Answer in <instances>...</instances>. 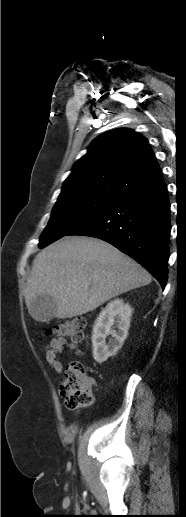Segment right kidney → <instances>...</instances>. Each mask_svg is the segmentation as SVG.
Listing matches in <instances>:
<instances>
[{"mask_svg":"<svg viewBox=\"0 0 186 517\" xmlns=\"http://www.w3.org/2000/svg\"><path fill=\"white\" fill-rule=\"evenodd\" d=\"M133 309L122 299L107 304L97 317L92 333L93 357L102 363L115 355L127 338ZM117 328L118 330H115ZM111 335L106 344V337Z\"/></svg>","mask_w":186,"mask_h":517,"instance_id":"right-kidney-1","label":"right kidney"}]
</instances>
